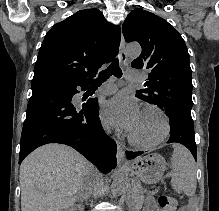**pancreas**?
Wrapping results in <instances>:
<instances>
[{"mask_svg": "<svg viewBox=\"0 0 219 211\" xmlns=\"http://www.w3.org/2000/svg\"><path fill=\"white\" fill-rule=\"evenodd\" d=\"M141 186H131L133 192L127 196L128 203L131 205L130 211H140L141 203L145 199L144 189Z\"/></svg>", "mask_w": 219, "mask_h": 211, "instance_id": "cf45deb5", "label": "pancreas"}]
</instances>
